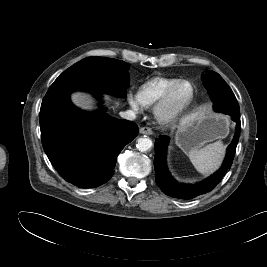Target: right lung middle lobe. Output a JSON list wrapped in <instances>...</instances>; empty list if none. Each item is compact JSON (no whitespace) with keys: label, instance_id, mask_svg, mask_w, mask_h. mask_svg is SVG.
<instances>
[{"label":"right lung middle lobe","instance_id":"dd1d6c3e","mask_svg":"<svg viewBox=\"0 0 267 267\" xmlns=\"http://www.w3.org/2000/svg\"><path fill=\"white\" fill-rule=\"evenodd\" d=\"M129 66L105 57H88L69 67L50 86L43 101L68 91L92 90L115 96H126Z\"/></svg>","mask_w":267,"mask_h":267}]
</instances>
